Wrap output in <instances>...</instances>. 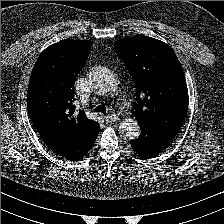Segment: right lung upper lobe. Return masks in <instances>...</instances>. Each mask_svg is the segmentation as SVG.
<instances>
[{
  "label": "right lung upper lobe",
  "mask_w": 224,
  "mask_h": 224,
  "mask_svg": "<svg viewBox=\"0 0 224 224\" xmlns=\"http://www.w3.org/2000/svg\"><path fill=\"white\" fill-rule=\"evenodd\" d=\"M89 49L87 41L58 42L41 53L31 75L29 116L45 144L67 158L86 148L99 128L76 108L71 88Z\"/></svg>",
  "instance_id": "obj_1"
}]
</instances>
